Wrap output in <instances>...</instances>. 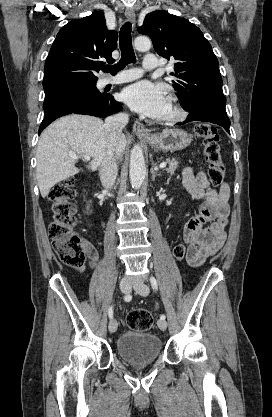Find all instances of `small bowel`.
Returning <instances> with one entry per match:
<instances>
[{
	"label": "small bowel",
	"instance_id": "small-bowel-1",
	"mask_svg": "<svg viewBox=\"0 0 272 417\" xmlns=\"http://www.w3.org/2000/svg\"><path fill=\"white\" fill-rule=\"evenodd\" d=\"M182 182L194 199L202 201L199 212L186 222L183 230L187 244L186 260L189 265L197 267L218 252L227 239L230 187L222 183L219 189L213 188L205 172L195 173L191 167L183 170ZM87 254L89 268L94 269L98 253L90 244L87 245ZM78 269L85 270L84 267Z\"/></svg>",
	"mask_w": 272,
	"mask_h": 417
}]
</instances>
